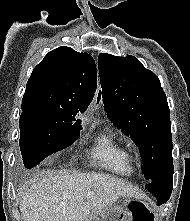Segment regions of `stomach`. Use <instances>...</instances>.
Listing matches in <instances>:
<instances>
[{
  "mask_svg": "<svg viewBox=\"0 0 190 221\" xmlns=\"http://www.w3.org/2000/svg\"><path fill=\"white\" fill-rule=\"evenodd\" d=\"M153 208L148 200H118V204L106 206L91 218L90 221H156Z\"/></svg>",
  "mask_w": 190,
  "mask_h": 221,
  "instance_id": "1",
  "label": "stomach"
}]
</instances>
